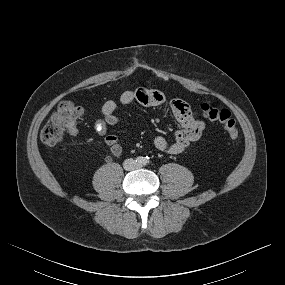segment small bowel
Masks as SVG:
<instances>
[{"label":"small bowel","instance_id":"c3829d8e","mask_svg":"<svg viewBox=\"0 0 285 285\" xmlns=\"http://www.w3.org/2000/svg\"><path fill=\"white\" fill-rule=\"evenodd\" d=\"M133 102L148 107L166 106L178 122L179 127L175 130L171 140L160 135L154 137L153 145L160 151L173 155L180 154L202 136L205 124L186 102L181 100L167 101L161 92L143 87L126 90L121 93L117 100L109 99L103 104V118L95 123L96 133L104 137L105 143L110 147V151L115 158L122 155V145L117 136L108 134V127L119 123V118L115 115L118 103L129 105ZM72 135L75 137L77 135L76 131Z\"/></svg>","mask_w":285,"mask_h":285}]
</instances>
